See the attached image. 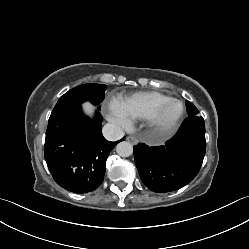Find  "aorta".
<instances>
[{"instance_id": "aorta-1", "label": "aorta", "mask_w": 249, "mask_h": 249, "mask_svg": "<svg viewBox=\"0 0 249 249\" xmlns=\"http://www.w3.org/2000/svg\"><path fill=\"white\" fill-rule=\"evenodd\" d=\"M116 152L121 157H129L133 153V146L127 141H122L117 144Z\"/></svg>"}]
</instances>
